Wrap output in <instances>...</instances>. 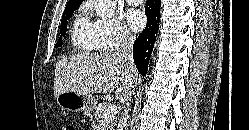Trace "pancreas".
<instances>
[{"instance_id":"1","label":"pancreas","mask_w":249,"mask_h":130,"mask_svg":"<svg viewBox=\"0 0 249 130\" xmlns=\"http://www.w3.org/2000/svg\"><path fill=\"white\" fill-rule=\"evenodd\" d=\"M109 107H111V105L107 103L99 104L95 109V119L97 120L100 127L104 126L107 130H112L115 124V118L104 120L102 117L103 113L108 110Z\"/></svg>"}]
</instances>
